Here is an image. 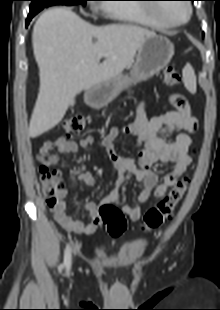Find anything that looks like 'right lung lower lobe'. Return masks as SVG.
I'll return each mask as SVG.
<instances>
[{"label":"right lung lower lobe","instance_id":"right-lung-lower-lobe-1","mask_svg":"<svg viewBox=\"0 0 220 310\" xmlns=\"http://www.w3.org/2000/svg\"><path fill=\"white\" fill-rule=\"evenodd\" d=\"M37 13H29L27 20H26V26H28L31 19L36 15Z\"/></svg>","mask_w":220,"mask_h":310}]
</instances>
